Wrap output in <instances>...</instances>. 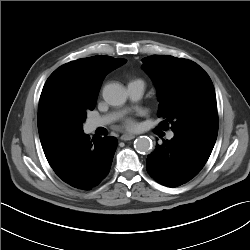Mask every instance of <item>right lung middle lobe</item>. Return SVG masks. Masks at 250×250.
Segmentation results:
<instances>
[{
	"label": "right lung middle lobe",
	"instance_id": "dd1d6c3e",
	"mask_svg": "<svg viewBox=\"0 0 250 250\" xmlns=\"http://www.w3.org/2000/svg\"><path fill=\"white\" fill-rule=\"evenodd\" d=\"M86 118V114L82 115V117L80 118L78 124L76 125L75 128H73L68 135H73V134H77V133H80L83 131V128H82V124L84 122Z\"/></svg>",
	"mask_w": 250,
	"mask_h": 250
}]
</instances>
